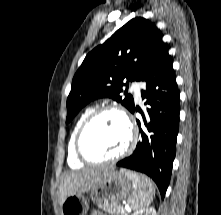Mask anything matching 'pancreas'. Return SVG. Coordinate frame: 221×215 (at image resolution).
Returning <instances> with one entry per match:
<instances>
[{
    "label": "pancreas",
    "mask_w": 221,
    "mask_h": 215,
    "mask_svg": "<svg viewBox=\"0 0 221 215\" xmlns=\"http://www.w3.org/2000/svg\"><path fill=\"white\" fill-rule=\"evenodd\" d=\"M98 206L112 215H120V213L124 210L119 202L103 203Z\"/></svg>",
    "instance_id": "cf45deb5"
}]
</instances>
